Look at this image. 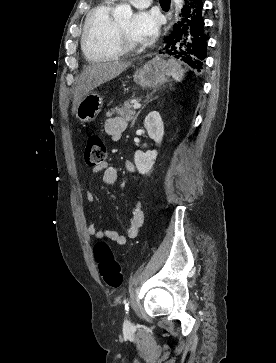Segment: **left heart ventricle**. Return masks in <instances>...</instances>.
I'll use <instances>...</instances> for the list:
<instances>
[{
    "mask_svg": "<svg viewBox=\"0 0 276 363\" xmlns=\"http://www.w3.org/2000/svg\"><path fill=\"white\" fill-rule=\"evenodd\" d=\"M132 19L133 17L130 16L124 20L119 21L118 24L123 32L125 39L131 44L138 45L141 43V41H139L132 32Z\"/></svg>",
    "mask_w": 276,
    "mask_h": 363,
    "instance_id": "b2bd125f",
    "label": "left heart ventricle"
}]
</instances>
